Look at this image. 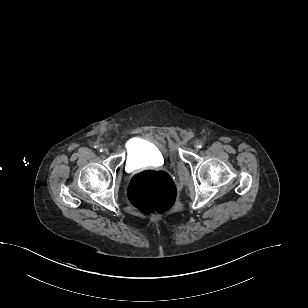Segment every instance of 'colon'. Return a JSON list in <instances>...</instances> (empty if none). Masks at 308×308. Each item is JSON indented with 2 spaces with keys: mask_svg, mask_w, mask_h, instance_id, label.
Masks as SVG:
<instances>
[{
  "mask_svg": "<svg viewBox=\"0 0 308 308\" xmlns=\"http://www.w3.org/2000/svg\"><path fill=\"white\" fill-rule=\"evenodd\" d=\"M175 185L171 177L162 171H145L135 175L128 188L131 204L146 214L163 213L175 200Z\"/></svg>",
  "mask_w": 308,
  "mask_h": 308,
  "instance_id": "1",
  "label": "colon"
}]
</instances>
